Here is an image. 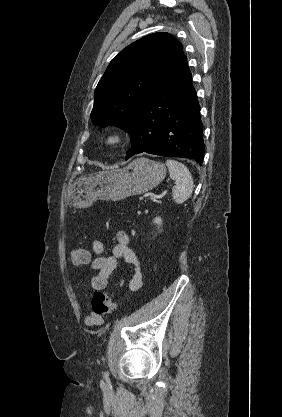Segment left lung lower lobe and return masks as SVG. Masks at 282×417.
<instances>
[{"instance_id": "left-lung-lower-lobe-1", "label": "left lung lower lobe", "mask_w": 282, "mask_h": 417, "mask_svg": "<svg viewBox=\"0 0 282 417\" xmlns=\"http://www.w3.org/2000/svg\"><path fill=\"white\" fill-rule=\"evenodd\" d=\"M129 133L132 147L126 160L147 152L192 158L202 165L203 124L185 55L169 69L137 110Z\"/></svg>"}]
</instances>
